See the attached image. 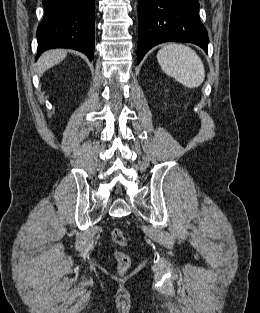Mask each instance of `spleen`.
<instances>
[{
    "instance_id": "obj_1",
    "label": "spleen",
    "mask_w": 260,
    "mask_h": 313,
    "mask_svg": "<svg viewBox=\"0 0 260 313\" xmlns=\"http://www.w3.org/2000/svg\"><path fill=\"white\" fill-rule=\"evenodd\" d=\"M162 70L188 88L199 87L205 78V68L197 53L182 44H167L157 53Z\"/></svg>"
}]
</instances>
